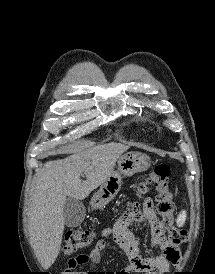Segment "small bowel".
I'll use <instances>...</instances> for the list:
<instances>
[{"instance_id":"small-bowel-1","label":"small bowel","mask_w":215,"mask_h":274,"mask_svg":"<svg viewBox=\"0 0 215 274\" xmlns=\"http://www.w3.org/2000/svg\"><path fill=\"white\" fill-rule=\"evenodd\" d=\"M134 223H147L151 232V245L162 253L142 256L139 252V239L130 230ZM111 236L114 242L127 255L129 265L118 272H88L79 270L78 267L89 260L98 263L101 252L106 246L105 239ZM179 246L170 243L164 229L158 221L154 203L151 198H146L141 205H133L124 213L112 228H104L99 234V239L88 255H79L68 261V266L62 274H164L170 268L176 267L180 262Z\"/></svg>"}]
</instances>
